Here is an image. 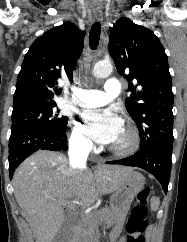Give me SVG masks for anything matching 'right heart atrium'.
Segmentation results:
<instances>
[{
    "instance_id": "right-heart-atrium-1",
    "label": "right heart atrium",
    "mask_w": 187,
    "mask_h": 242,
    "mask_svg": "<svg viewBox=\"0 0 187 242\" xmlns=\"http://www.w3.org/2000/svg\"><path fill=\"white\" fill-rule=\"evenodd\" d=\"M70 145L78 152H87L92 149V142L84 134L81 124L77 121L73 123L70 135Z\"/></svg>"
}]
</instances>
